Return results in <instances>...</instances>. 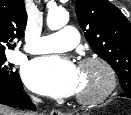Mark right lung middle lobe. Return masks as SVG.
Here are the masks:
<instances>
[{
    "instance_id": "obj_1",
    "label": "right lung middle lobe",
    "mask_w": 131,
    "mask_h": 115,
    "mask_svg": "<svg viewBox=\"0 0 131 115\" xmlns=\"http://www.w3.org/2000/svg\"><path fill=\"white\" fill-rule=\"evenodd\" d=\"M6 63L5 53H0V87H8L19 80L18 73Z\"/></svg>"
}]
</instances>
